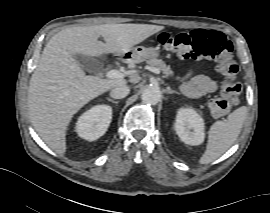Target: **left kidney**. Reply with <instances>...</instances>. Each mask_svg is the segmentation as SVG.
<instances>
[{
  "label": "left kidney",
  "instance_id": "5707ae66",
  "mask_svg": "<svg viewBox=\"0 0 270 213\" xmlns=\"http://www.w3.org/2000/svg\"><path fill=\"white\" fill-rule=\"evenodd\" d=\"M174 127L182 142L193 146L204 142V120L194 109H179Z\"/></svg>",
  "mask_w": 270,
  "mask_h": 213
}]
</instances>
